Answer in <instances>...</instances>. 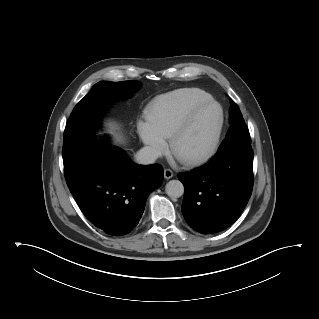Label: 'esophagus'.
I'll list each match as a JSON object with an SVG mask.
<instances>
[{
  "label": "esophagus",
  "mask_w": 319,
  "mask_h": 319,
  "mask_svg": "<svg viewBox=\"0 0 319 319\" xmlns=\"http://www.w3.org/2000/svg\"><path fill=\"white\" fill-rule=\"evenodd\" d=\"M174 176V173L170 169H164V178L170 179Z\"/></svg>",
  "instance_id": "34e87169"
}]
</instances>
